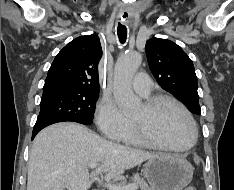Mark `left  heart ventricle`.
<instances>
[{"label":"left heart ventricle","instance_id":"left-heart-ventricle-1","mask_svg":"<svg viewBox=\"0 0 234 190\" xmlns=\"http://www.w3.org/2000/svg\"><path fill=\"white\" fill-rule=\"evenodd\" d=\"M134 119L146 121L151 133L161 143L172 146H185L192 140V129L183 112L171 103L161 104L152 114H148L144 105Z\"/></svg>","mask_w":234,"mask_h":190}]
</instances>
